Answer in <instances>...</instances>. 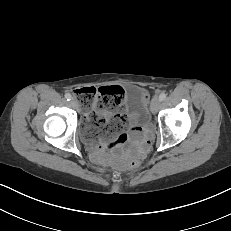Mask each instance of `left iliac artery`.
Wrapping results in <instances>:
<instances>
[{"label":"left iliac artery","mask_w":231,"mask_h":231,"mask_svg":"<svg viewBox=\"0 0 231 231\" xmlns=\"http://www.w3.org/2000/svg\"><path fill=\"white\" fill-rule=\"evenodd\" d=\"M166 98V94L165 93H161L159 96V99L162 101Z\"/></svg>","instance_id":"44dca946"}]
</instances>
